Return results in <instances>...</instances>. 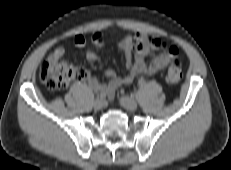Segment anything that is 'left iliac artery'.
Returning <instances> with one entry per match:
<instances>
[{
	"label": "left iliac artery",
	"mask_w": 231,
	"mask_h": 170,
	"mask_svg": "<svg viewBox=\"0 0 231 170\" xmlns=\"http://www.w3.org/2000/svg\"><path fill=\"white\" fill-rule=\"evenodd\" d=\"M144 84H145V82H144L143 80H140V81H139V85H140V86H143Z\"/></svg>",
	"instance_id": "44dca946"
}]
</instances>
